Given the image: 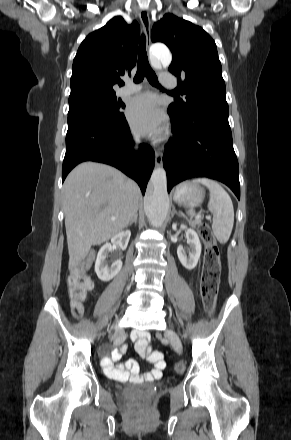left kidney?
I'll use <instances>...</instances> for the list:
<instances>
[{"label": "left kidney", "mask_w": 291, "mask_h": 440, "mask_svg": "<svg viewBox=\"0 0 291 440\" xmlns=\"http://www.w3.org/2000/svg\"><path fill=\"white\" fill-rule=\"evenodd\" d=\"M173 230H177V224L172 225ZM181 229L185 230L187 243L189 245V251L186 252L183 246H178L177 255L181 264L189 270L196 267L201 255V243L198 234L195 230L188 228L186 225L181 224Z\"/></svg>", "instance_id": "obj_1"}]
</instances>
